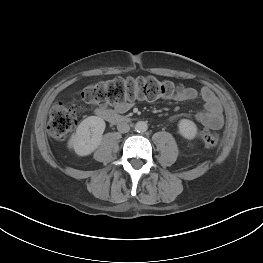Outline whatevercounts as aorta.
Returning <instances> with one entry per match:
<instances>
[{"mask_svg":"<svg viewBox=\"0 0 263 263\" xmlns=\"http://www.w3.org/2000/svg\"><path fill=\"white\" fill-rule=\"evenodd\" d=\"M148 129V125L146 122L144 121H138L136 124H135V130L137 132H145L146 130Z\"/></svg>","mask_w":263,"mask_h":263,"instance_id":"obj_1","label":"aorta"}]
</instances>
